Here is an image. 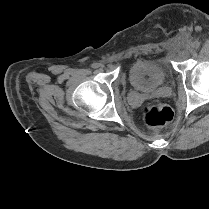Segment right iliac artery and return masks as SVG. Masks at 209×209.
Wrapping results in <instances>:
<instances>
[{
	"label": "right iliac artery",
	"mask_w": 209,
	"mask_h": 209,
	"mask_svg": "<svg viewBox=\"0 0 209 209\" xmlns=\"http://www.w3.org/2000/svg\"><path fill=\"white\" fill-rule=\"evenodd\" d=\"M98 67H99V65L97 63L92 64V68H98Z\"/></svg>",
	"instance_id": "obj_1"
}]
</instances>
